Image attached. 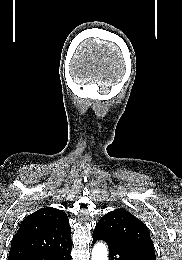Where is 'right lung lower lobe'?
<instances>
[{"label":"right lung lower lobe","instance_id":"right-lung-lower-lobe-1","mask_svg":"<svg viewBox=\"0 0 182 260\" xmlns=\"http://www.w3.org/2000/svg\"><path fill=\"white\" fill-rule=\"evenodd\" d=\"M71 249L72 244L64 248H59L53 251L31 256L26 260H71Z\"/></svg>","mask_w":182,"mask_h":260}]
</instances>
